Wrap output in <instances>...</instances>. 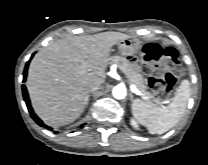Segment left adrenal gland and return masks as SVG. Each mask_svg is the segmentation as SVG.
Instances as JSON below:
<instances>
[{
  "label": "left adrenal gland",
  "instance_id": "1",
  "mask_svg": "<svg viewBox=\"0 0 208 165\" xmlns=\"http://www.w3.org/2000/svg\"><path fill=\"white\" fill-rule=\"evenodd\" d=\"M130 100L133 101V95H132V93L130 94Z\"/></svg>",
  "mask_w": 208,
  "mask_h": 165
}]
</instances>
